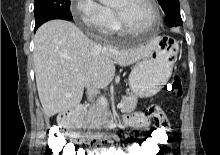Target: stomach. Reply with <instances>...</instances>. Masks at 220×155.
Listing matches in <instances>:
<instances>
[{"label":"stomach","mask_w":220,"mask_h":155,"mask_svg":"<svg viewBox=\"0 0 220 155\" xmlns=\"http://www.w3.org/2000/svg\"><path fill=\"white\" fill-rule=\"evenodd\" d=\"M154 50L139 62L129 76L134 96L149 98L156 95L171 77L178 44L169 37H158Z\"/></svg>","instance_id":"1"}]
</instances>
